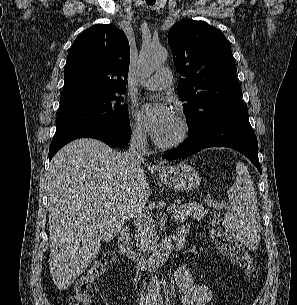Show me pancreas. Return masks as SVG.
I'll use <instances>...</instances> for the list:
<instances>
[{
    "mask_svg": "<svg viewBox=\"0 0 297 305\" xmlns=\"http://www.w3.org/2000/svg\"><path fill=\"white\" fill-rule=\"evenodd\" d=\"M205 203L208 206L213 204L211 200H205ZM207 213L208 209H205L202 204L193 201L175 206L173 218L176 222L181 223L189 216H193L194 219L200 220L204 218ZM135 240L143 252H149L155 248L158 238L156 237V229L151 216L147 215L141 218Z\"/></svg>",
    "mask_w": 297,
    "mask_h": 305,
    "instance_id": "1",
    "label": "pancreas"
}]
</instances>
